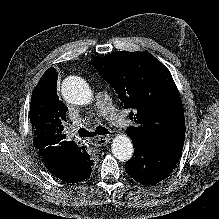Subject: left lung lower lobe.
I'll use <instances>...</instances> for the list:
<instances>
[{"label": "left lung lower lobe", "mask_w": 219, "mask_h": 219, "mask_svg": "<svg viewBox=\"0 0 219 219\" xmlns=\"http://www.w3.org/2000/svg\"><path fill=\"white\" fill-rule=\"evenodd\" d=\"M133 158L126 164V172L143 185H154L165 179L177 164L182 150L158 148L144 140H132Z\"/></svg>", "instance_id": "1"}]
</instances>
